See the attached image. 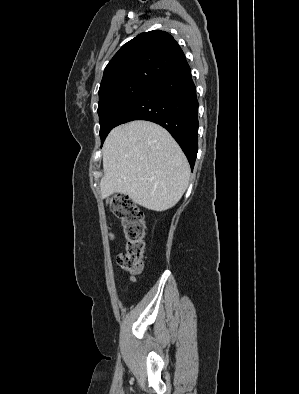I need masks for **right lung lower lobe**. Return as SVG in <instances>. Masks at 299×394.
I'll use <instances>...</instances> for the list:
<instances>
[{"mask_svg": "<svg viewBox=\"0 0 299 394\" xmlns=\"http://www.w3.org/2000/svg\"><path fill=\"white\" fill-rule=\"evenodd\" d=\"M133 120L155 122L168 130L193 169L198 151V101L187 61L154 81L127 108L116 126Z\"/></svg>", "mask_w": 299, "mask_h": 394, "instance_id": "1", "label": "right lung lower lobe"}]
</instances>
